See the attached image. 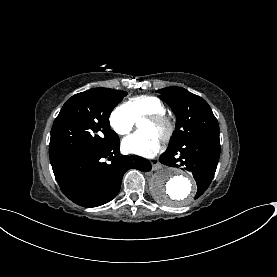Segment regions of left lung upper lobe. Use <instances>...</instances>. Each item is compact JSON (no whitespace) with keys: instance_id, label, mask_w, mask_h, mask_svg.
Instances as JSON below:
<instances>
[{"instance_id":"left-lung-upper-lobe-1","label":"left lung upper lobe","mask_w":277,"mask_h":277,"mask_svg":"<svg viewBox=\"0 0 277 277\" xmlns=\"http://www.w3.org/2000/svg\"><path fill=\"white\" fill-rule=\"evenodd\" d=\"M176 115V131L168 148H176L184 141L209 133H219L218 121L208 103L182 87L158 90Z\"/></svg>"}]
</instances>
